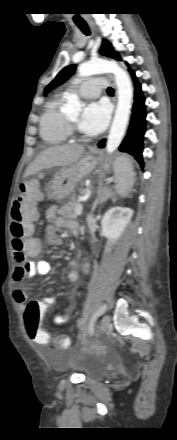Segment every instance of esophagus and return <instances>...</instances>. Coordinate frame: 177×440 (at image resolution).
<instances>
[{"label":"esophagus","mask_w":177,"mask_h":440,"mask_svg":"<svg viewBox=\"0 0 177 440\" xmlns=\"http://www.w3.org/2000/svg\"><path fill=\"white\" fill-rule=\"evenodd\" d=\"M89 25L91 26V28L93 29V31H95L96 32V28H95V25L92 23V22H90L89 23ZM110 78H111V80L113 81V77L112 76H110ZM116 101H117V96H116V93H115V96H114V98H113V103L115 104L116 103Z\"/></svg>","instance_id":"esophagus-1"}]
</instances>
